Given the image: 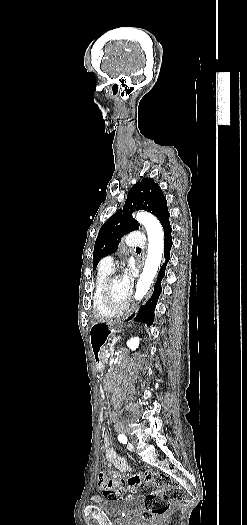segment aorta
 Wrapping results in <instances>:
<instances>
[{
  "label": "aorta",
  "mask_w": 247,
  "mask_h": 525,
  "mask_svg": "<svg viewBox=\"0 0 247 525\" xmlns=\"http://www.w3.org/2000/svg\"><path fill=\"white\" fill-rule=\"evenodd\" d=\"M136 220L146 228L148 235V255L134 295L136 300H141L150 289L160 267L164 250V232L160 222L150 213L138 212Z\"/></svg>",
  "instance_id": "762f6f07"
}]
</instances>
